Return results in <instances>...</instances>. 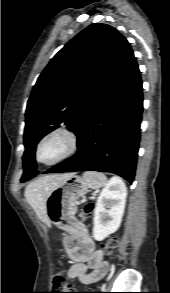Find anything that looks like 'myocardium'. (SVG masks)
<instances>
[{
  "label": "myocardium",
  "instance_id": "f54148a6",
  "mask_svg": "<svg viewBox=\"0 0 170 293\" xmlns=\"http://www.w3.org/2000/svg\"><path fill=\"white\" fill-rule=\"evenodd\" d=\"M61 134L65 137L67 146L65 151L57 158L51 160V161H43L41 160L39 153L42 145L51 137ZM79 148V138L76 135L74 131L71 129L64 127V126H59L55 127L49 131H47L36 143L35 150H34V159L38 164L45 165V166H53L56 165L60 162H63L70 157H72L78 150Z\"/></svg>",
  "mask_w": 170,
  "mask_h": 293
}]
</instances>
